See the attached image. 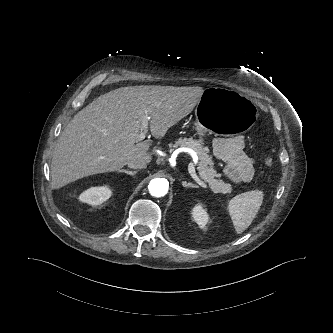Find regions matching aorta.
<instances>
[{
    "mask_svg": "<svg viewBox=\"0 0 333 333\" xmlns=\"http://www.w3.org/2000/svg\"><path fill=\"white\" fill-rule=\"evenodd\" d=\"M149 193L154 197H163L168 193L169 184L164 178H154L148 185Z\"/></svg>",
    "mask_w": 333,
    "mask_h": 333,
    "instance_id": "1",
    "label": "aorta"
}]
</instances>
